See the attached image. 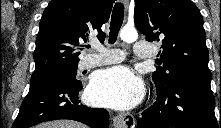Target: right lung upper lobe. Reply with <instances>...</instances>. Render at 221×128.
Listing matches in <instances>:
<instances>
[{
	"label": "right lung upper lobe",
	"mask_w": 221,
	"mask_h": 128,
	"mask_svg": "<svg viewBox=\"0 0 221 128\" xmlns=\"http://www.w3.org/2000/svg\"><path fill=\"white\" fill-rule=\"evenodd\" d=\"M115 0H51L43 12L36 39L32 76L78 65V48L92 34L103 40L101 27Z\"/></svg>",
	"instance_id": "1"
}]
</instances>
